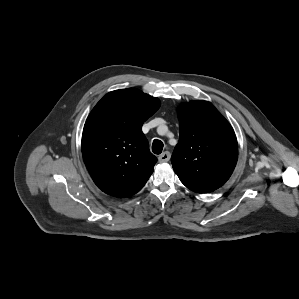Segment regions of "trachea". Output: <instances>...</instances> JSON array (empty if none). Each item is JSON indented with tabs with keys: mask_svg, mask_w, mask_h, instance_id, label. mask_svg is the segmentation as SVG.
I'll list each match as a JSON object with an SVG mask.
<instances>
[{
	"mask_svg": "<svg viewBox=\"0 0 299 299\" xmlns=\"http://www.w3.org/2000/svg\"><path fill=\"white\" fill-rule=\"evenodd\" d=\"M163 150V143L160 140L155 139L152 144V151L154 154H161Z\"/></svg>",
	"mask_w": 299,
	"mask_h": 299,
	"instance_id": "obj_1",
	"label": "trachea"
}]
</instances>
